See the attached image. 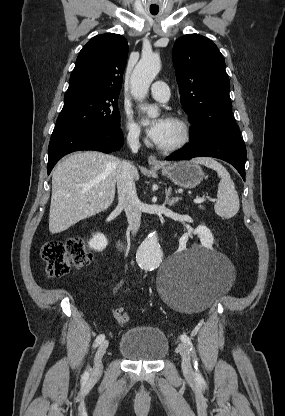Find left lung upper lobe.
<instances>
[{
  "instance_id": "obj_1",
  "label": "left lung upper lobe",
  "mask_w": 285,
  "mask_h": 416,
  "mask_svg": "<svg viewBox=\"0 0 285 416\" xmlns=\"http://www.w3.org/2000/svg\"><path fill=\"white\" fill-rule=\"evenodd\" d=\"M180 100L192 124L190 137L236 124L231 111L230 82L217 46L198 34H187L173 46Z\"/></svg>"
}]
</instances>
